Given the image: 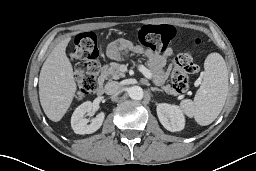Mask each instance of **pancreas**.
<instances>
[{
    "label": "pancreas",
    "mask_w": 256,
    "mask_h": 171,
    "mask_svg": "<svg viewBox=\"0 0 256 171\" xmlns=\"http://www.w3.org/2000/svg\"><path fill=\"white\" fill-rule=\"evenodd\" d=\"M153 74H155L156 77H165V73L163 70H154L152 71ZM101 76L107 80L111 79H120L125 77V74L120 71V64L116 62L110 63V65L102 72ZM162 89L170 95H176V91L170 86V85H165L162 86Z\"/></svg>",
    "instance_id": "obj_1"
}]
</instances>
